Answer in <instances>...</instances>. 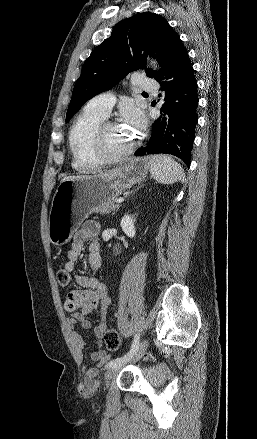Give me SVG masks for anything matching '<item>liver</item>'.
<instances>
[{
  "label": "liver",
  "mask_w": 257,
  "mask_h": 439,
  "mask_svg": "<svg viewBox=\"0 0 257 439\" xmlns=\"http://www.w3.org/2000/svg\"><path fill=\"white\" fill-rule=\"evenodd\" d=\"M85 177H90V176H69V177H65L61 180L62 181H66V180H73V179H78V178H85Z\"/></svg>",
  "instance_id": "6515ba94"
}]
</instances>
